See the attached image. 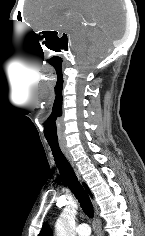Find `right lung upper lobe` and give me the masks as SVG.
I'll return each instance as SVG.
<instances>
[{"label":"right lung upper lobe","instance_id":"obj_1","mask_svg":"<svg viewBox=\"0 0 145 236\" xmlns=\"http://www.w3.org/2000/svg\"><path fill=\"white\" fill-rule=\"evenodd\" d=\"M84 186L87 188V186L84 184ZM38 236H52V232H51V229L48 225V223H44L42 229H41V232Z\"/></svg>","mask_w":145,"mask_h":236}]
</instances>
